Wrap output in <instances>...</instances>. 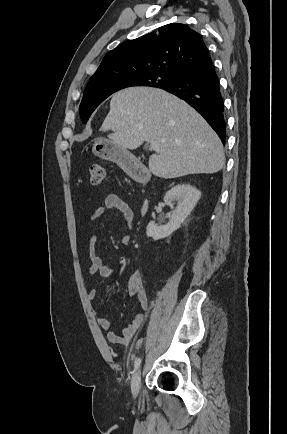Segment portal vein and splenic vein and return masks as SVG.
Instances as JSON below:
<instances>
[{"label": "portal vein and splenic vein", "instance_id": "portal-vein-and-splenic-vein-1", "mask_svg": "<svg viewBox=\"0 0 287 434\" xmlns=\"http://www.w3.org/2000/svg\"><path fill=\"white\" fill-rule=\"evenodd\" d=\"M150 149L159 152L160 151L159 144L156 142H150Z\"/></svg>", "mask_w": 287, "mask_h": 434}]
</instances>
